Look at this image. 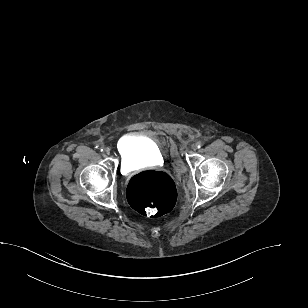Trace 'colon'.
Wrapping results in <instances>:
<instances>
[{
	"mask_svg": "<svg viewBox=\"0 0 308 308\" xmlns=\"http://www.w3.org/2000/svg\"><path fill=\"white\" fill-rule=\"evenodd\" d=\"M131 206L147 216H161L176 202V188L169 175L159 171H145L133 176L127 187Z\"/></svg>",
	"mask_w": 308,
	"mask_h": 308,
	"instance_id": "obj_1",
	"label": "colon"
}]
</instances>
